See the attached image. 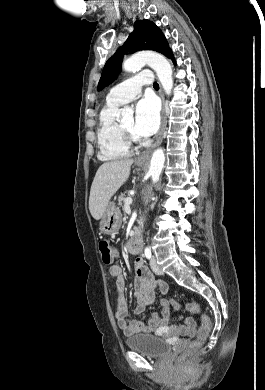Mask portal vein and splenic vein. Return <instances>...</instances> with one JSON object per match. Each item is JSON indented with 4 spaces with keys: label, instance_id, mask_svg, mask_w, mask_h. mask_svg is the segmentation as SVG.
Here are the masks:
<instances>
[{
    "label": "portal vein and splenic vein",
    "instance_id": "obj_1",
    "mask_svg": "<svg viewBox=\"0 0 265 390\" xmlns=\"http://www.w3.org/2000/svg\"><path fill=\"white\" fill-rule=\"evenodd\" d=\"M125 206H130V204L132 203V198L131 197H128L125 199Z\"/></svg>",
    "mask_w": 265,
    "mask_h": 390
}]
</instances>
